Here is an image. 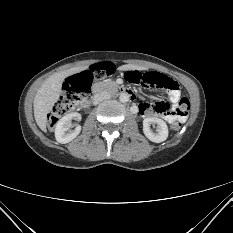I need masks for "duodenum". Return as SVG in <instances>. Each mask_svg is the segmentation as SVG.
Listing matches in <instances>:
<instances>
[{
	"label": "duodenum",
	"mask_w": 233,
	"mask_h": 233,
	"mask_svg": "<svg viewBox=\"0 0 233 233\" xmlns=\"http://www.w3.org/2000/svg\"><path fill=\"white\" fill-rule=\"evenodd\" d=\"M106 90L110 91L115 95H128V96L132 95L130 91L116 84H99V85H93L92 87V92H95V94Z\"/></svg>",
	"instance_id": "1"
}]
</instances>
